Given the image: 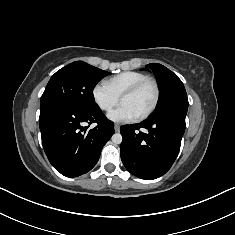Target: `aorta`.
<instances>
[{"label": "aorta", "instance_id": "1", "mask_svg": "<svg viewBox=\"0 0 235 235\" xmlns=\"http://www.w3.org/2000/svg\"><path fill=\"white\" fill-rule=\"evenodd\" d=\"M112 142L114 144H121V142H122V135L120 133H115L112 136Z\"/></svg>", "mask_w": 235, "mask_h": 235}]
</instances>
